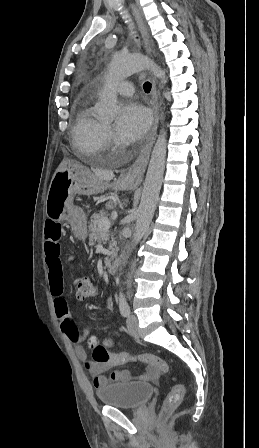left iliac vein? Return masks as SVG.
Returning a JSON list of instances; mask_svg holds the SVG:
<instances>
[{
  "label": "left iliac vein",
  "instance_id": "1",
  "mask_svg": "<svg viewBox=\"0 0 259 448\" xmlns=\"http://www.w3.org/2000/svg\"><path fill=\"white\" fill-rule=\"evenodd\" d=\"M126 323L129 333L133 337L139 338L140 331H139L138 318L133 314H129Z\"/></svg>",
  "mask_w": 259,
  "mask_h": 448
}]
</instances>
